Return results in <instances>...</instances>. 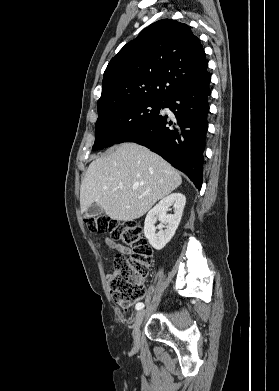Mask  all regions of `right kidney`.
Returning a JSON list of instances; mask_svg holds the SVG:
<instances>
[{
	"mask_svg": "<svg viewBox=\"0 0 279 391\" xmlns=\"http://www.w3.org/2000/svg\"><path fill=\"white\" fill-rule=\"evenodd\" d=\"M185 203L186 197L182 193H172L164 197L148 212L144 222V235L154 249L161 250L174 236ZM170 206L174 208L173 214H167ZM157 220L160 224L156 227ZM156 229H159L158 233Z\"/></svg>",
	"mask_w": 279,
	"mask_h": 391,
	"instance_id": "ca27d5eb",
	"label": "right kidney"
}]
</instances>
